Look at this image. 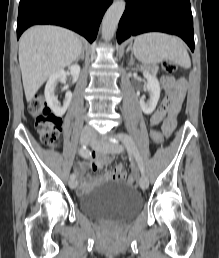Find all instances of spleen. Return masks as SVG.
<instances>
[{"instance_id":"obj_1","label":"spleen","mask_w":219,"mask_h":258,"mask_svg":"<svg viewBox=\"0 0 219 258\" xmlns=\"http://www.w3.org/2000/svg\"><path fill=\"white\" fill-rule=\"evenodd\" d=\"M135 57L144 64L170 60L184 68L191 67L186 47L181 39L159 32L139 35L133 44Z\"/></svg>"}]
</instances>
